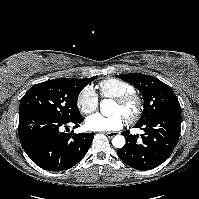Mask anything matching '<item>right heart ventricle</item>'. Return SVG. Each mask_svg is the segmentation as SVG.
I'll use <instances>...</instances> for the list:
<instances>
[{
	"mask_svg": "<svg viewBox=\"0 0 199 199\" xmlns=\"http://www.w3.org/2000/svg\"><path fill=\"white\" fill-rule=\"evenodd\" d=\"M100 95L103 98H117L122 95L135 92V87L120 79H107L99 84Z\"/></svg>",
	"mask_w": 199,
	"mask_h": 199,
	"instance_id": "obj_1",
	"label": "right heart ventricle"
}]
</instances>
